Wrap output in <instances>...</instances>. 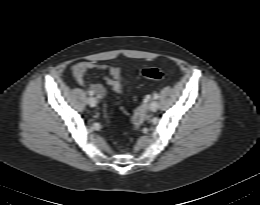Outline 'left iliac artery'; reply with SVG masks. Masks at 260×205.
Returning <instances> with one entry per match:
<instances>
[{
    "label": "left iliac artery",
    "mask_w": 260,
    "mask_h": 205,
    "mask_svg": "<svg viewBox=\"0 0 260 205\" xmlns=\"http://www.w3.org/2000/svg\"><path fill=\"white\" fill-rule=\"evenodd\" d=\"M158 97H159L158 93H155V94L153 95V98H154V99H158Z\"/></svg>",
    "instance_id": "1"
}]
</instances>
